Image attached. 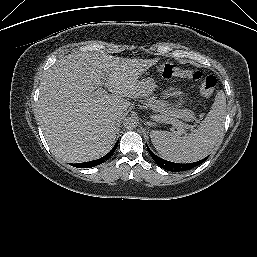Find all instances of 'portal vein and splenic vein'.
<instances>
[{"label":"portal vein and splenic vein","instance_id":"18ae733b","mask_svg":"<svg viewBox=\"0 0 257 257\" xmlns=\"http://www.w3.org/2000/svg\"><path fill=\"white\" fill-rule=\"evenodd\" d=\"M106 91L105 89H103L102 87H99L95 92L94 94L97 95V96H100V95H103L105 94ZM159 120L161 121H164L166 123H170L173 125L174 128L177 129V134L178 135H182L185 133V128H193V126L191 125H186L184 124L182 121H179V120H172V119H169V118H166V117H159Z\"/></svg>","mask_w":257,"mask_h":257}]
</instances>
